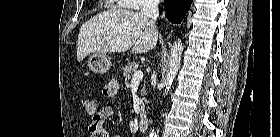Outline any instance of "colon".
<instances>
[{"label": "colon", "mask_w": 280, "mask_h": 137, "mask_svg": "<svg viewBox=\"0 0 280 137\" xmlns=\"http://www.w3.org/2000/svg\"><path fill=\"white\" fill-rule=\"evenodd\" d=\"M83 109L89 116H95L99 112L98 101L93 98H84L82 101ZM96 133L91 134V137H97Z\"/></svg>", "instance_id": "colon-1"}]
</instances>
